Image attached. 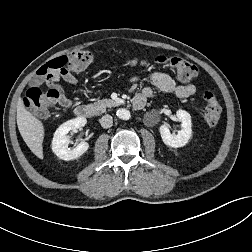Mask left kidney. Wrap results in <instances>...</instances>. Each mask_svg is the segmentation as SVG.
I'll return each mask as SVG.
<instances>
[{
	"label": "left kidney",
	"instance_id": "5707ae66",
	"mask_svg": "<svg viewBox=\"0 0 252 252\" xmlns=\"http://www.w3.org/2000/svg\"><path fill=\"white\" fill-rule=\"evenodd\" d=\"M178 120L181 122L182 129L177 132V134H171L169 126L162 124L159 127L161 138L163 142L170 147L179 148L185 146L192 133V123L191 116L188 112L184 110H178L176 112Z\"/></svg>",
	"mask_w": 252,
	"mask_h": 252
}]
</instances>
